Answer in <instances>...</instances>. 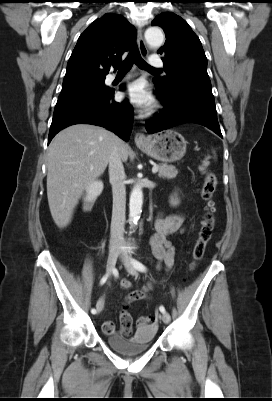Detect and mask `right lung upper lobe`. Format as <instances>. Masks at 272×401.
<instances>
[{
	"label": "right lung upper lobe",
	"mask_w": 272,
	"mask_h": 401,
	"mask_svg": "<svg viewBox=\"0 0 272 401\" xmlns=\"http://www.w3.org/2000/svg\"><path fill=\"white\" fill-rule=\"evenodd\" d=\"M136 29L122 16L107 13L79 37L67 64L62 90L100 80L118 63L135 41Z\"/></svg>",
	"instance_id": "obj_1"
}]
</instances>
